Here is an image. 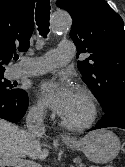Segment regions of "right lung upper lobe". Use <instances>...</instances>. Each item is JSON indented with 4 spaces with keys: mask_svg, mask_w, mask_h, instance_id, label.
Wrapping results in <instances>:
<instances>
[{
    "mask_svg": "<svg viewBox=\"0 0 125 167\" xmlns=\"http://www.w3.org/2000/svg\"><path fill=\"white\" fill-rule=\"evenodd\" d=\"M35 0H0V72L17 50L27 51L34 30Z\"/></svg>",
    "mask_w": 125,
    "mask_h": 167,
    "instance_id": "right-lung-upper-lobe-1",
    "label": "right lung upper lobe"
}]
</instances>
